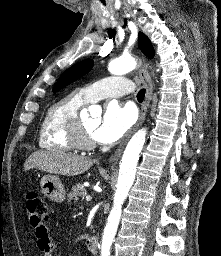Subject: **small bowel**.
Here are the masks:
<instances>
[{"mask_svg": "<svg viewBox=\"0 0 221 256\" xmlns=\"http://www.w3.org/2000/svg\"><path fill=\"white\" fill-rule=\"evenodd\" d=\"M37 246L42 251L43 256H53L55 245L48 234L47 228L36 230Z\"/></svg>", "mask_w": 221, "mask_h": 256, "instance_id": "small-bowel-1", "label": "small bowel"}]
</instances>
